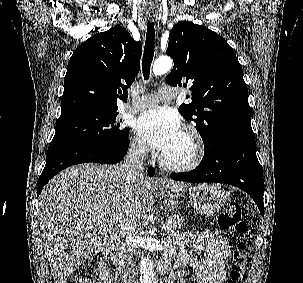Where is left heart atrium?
I'll list each match as a JSON object with an SVG mask.
<instances>
[{
    "label": "left heart atrium",
    "mask_w": 303,
    "mask_h": 283,
    "mask_svg": "<svg viewBox=\"0 0 303 283\" xmlns=\"http://www.w3.org/2000/svg\"><path fill=\"white\" fill-rule=\"evenodd\" d=\"M135 129L144 141L162 153L167 152L182 133L178 116L162 107L144 112L138 118Z\"/></svg>",
    "instance_id": "1"
}]
</instances>
